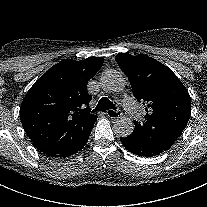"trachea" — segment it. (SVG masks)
<instances>
[{"label":"trachea","instance_id":"obj_1","mask_svg":"<svg viewBox=\"0 0 207 207\" xmlns=\"http://www.w3.org/2000/svg\"><path fill=\"white\" fill-rule=\"evenodd\" d=\"M115 109V105L106 97H102L93 112Z\"/></svg>","mask_w":207,"mask_h":207}]
</instances>
